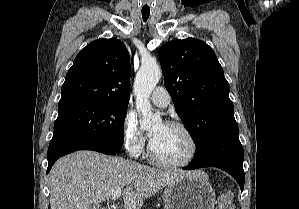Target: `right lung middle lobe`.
<instances>
[{"label": "right lung middle lobe", "instance_id": "right-lung-middle-lobe-1", "mask_svg": "<svg viewBox=\"0 0 299 209\" xmlns=\"http://www.w3.org/2000/svg\"><path fill=\"white\" fill-rule=\"evenodd\" d=\"M128 104L100 102L58 105L54 131L68 130L90 137H102L123 145V126Z\"/></svg>", "mask_w": 299, "mask_h": 209}]
</instances>
